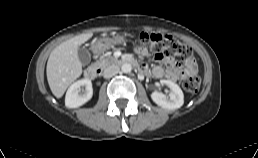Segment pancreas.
Masks as SVG:
<instances>
[{
	"label": "pancreas",
	"instance_id": "pancreas-1",
	"mask_svg": "<svg viewBox=\"0 0 258 158\" xmlns=\"http://www.w3.org/2000/svg\"><path fill=\"white\" fill-rule=\"evenodd\" d=\"M116 62V60L109 54H103L99 60L96 61V64L100 65L101 67L105 68L108 65Z\"/></svg>",
	"mask_w": 258,
	"mask_h": 158
}]
</instances>
